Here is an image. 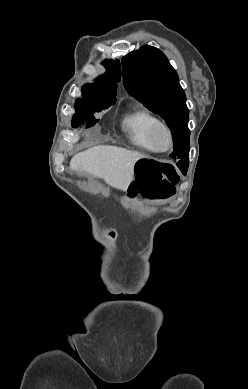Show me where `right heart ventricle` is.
<instances>
[{
    "mask_svg": "<svg viewBox=\"0 0 248 389\" xmlns=\"http://www.w3.org/2000/svg\"><path fill=\"white\" fill-rule=\"evenodd\" d=\"M158 119L141 105L133 107L122 119V129L130 142L142 149L153 151L148 134L151 126Z\"/></svg>",
    "mask_w": 248,
    "mask_h": 389,
    "instance_id": "right-heart-ventricle-1",
    "label": "right heart ventricle"
}]
</instances>
